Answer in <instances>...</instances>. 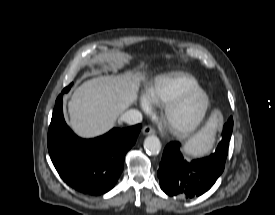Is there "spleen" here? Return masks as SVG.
<instances>
[{
    "mask_svg": "<svg viewBox=\"0 0 275 215\" xmlns=\"http://www.w3.org/2000/svg\"><path fill=\"white\" fill-rule=\"evenodd\" d=\"M220 121V114L218 112L213 113L206 126L185 144V152L192 156L207 154L212 147L215 130Z\"/></svg>",
    "mask_w": 275,
    "mask_h": 215,
    "instance_id": "3e777b00",
    "label": "spleen"
}]
</instances>
